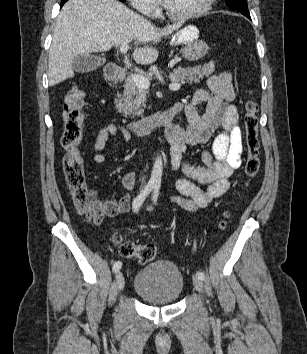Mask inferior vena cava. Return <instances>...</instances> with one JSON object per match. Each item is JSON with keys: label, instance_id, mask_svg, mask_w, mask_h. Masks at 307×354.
I'll return each mask as SVG.
<instances>
[{"label": "inferior vena cava", "instance_id": "inferior-vena-cava-1", "mask_svg": "<svg viewBox=\"0 0 307 354\" xmlns=\"http://www.w3.org/2000/svg\"><path fill=\"white\" fill-rule=\"evenodd\" d=\"M145 181H144V178H143V181H142V183H144Z\"/></svg>", "mask_w": 307, "mask_h": 354}]
</instances>
